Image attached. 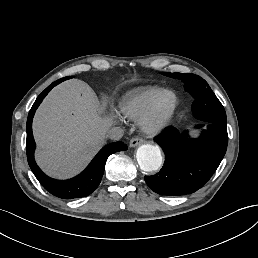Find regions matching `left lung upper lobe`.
Instances as JSON below:
<instances>
[{
  "instance_id": "obj_1",
  "label": "left lung upper lobe",
  "mask_w": 258,
  "mask_h": 258,
  "mask_svg": "<svg viewBox=\"0 0 258 258\" xmlns=\"http://www.w3.org/2000/svg\"><path fill=\"white\" fill-rule=\"evenodd\" d=\"M162 74L172 78H178L182 80L184 82L185 90L189 92L195 100L199 98H208V97H213L215 99V102H216L215 105L217 106V108H215L214 111H209V109H206L202 107L200 104L193 102L192 110L196 118L200 120L211 118L221 123H226L225 110L204 79H202L198 75L190 74V73L172 74L169 72H163Z\"/></svg>"
}]
</instances>
